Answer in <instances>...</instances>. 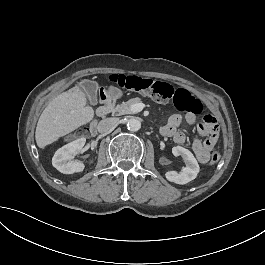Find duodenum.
Listing matches in <instances>:
<instances>
[{"label": "duodenum", "instance_id": "duodenum-1", "mask_svg": "<svg viewBox=\"0 0 265 265\" xmlns=\"http://www.w3.org/2000/svg\"><path fill=\"white\" fill-rule=\"evenodd\" d=\"M99 96L101 100V104L98 106L96 110V117L101 118L103 116H106L107 114L115 111V106H114V98L111 95L107 94L106 89L101 88L99 89ZM90 132L92 136H97L98 135V127L96 122H93L90 126Z\"/></svg>", "mask_w": 265, "mask_h": 265}]
</instances>
